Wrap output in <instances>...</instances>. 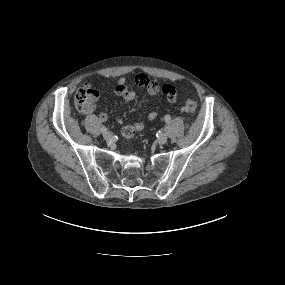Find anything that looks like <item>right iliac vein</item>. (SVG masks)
<instances>
[{
  "instance_id": "63e3f726",
  "label": "right iliac vein",
  "mask_w": 285,
  "mask_h": 285,
  "mask_svg": "<svg viewBox=\"0 0 285 285\" xmlns=\"http://www.w3.org/2000/svg\"><path fill=\"white\" fill-rule=\"evenodd\" d=\"M103 137L105 140L109 141V140H112L113 139V134L111 132H104L103 133Z\"/></svg>"
}]
</instances>
